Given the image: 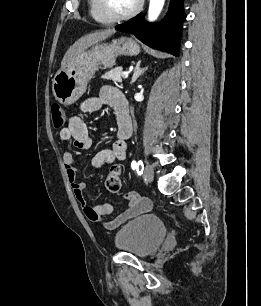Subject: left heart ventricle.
<instances>
[{
    "mask_svg": "<svg viewBox=\"0 0 261 306\" xmlns=\"http://www.w3.org/2000/svg\"><path fill=\"white\" fill-rule=\"evenodd\" d=\"M112 9L118 14L129 12L135 7L138 0H109Z\"/></svg>",
    "mask_w": 261,
    "mask_h": 306,
    "instance_id": "left-heart-ventricle-1",
    "label": "left heart ventricle"
}]
</instances>
